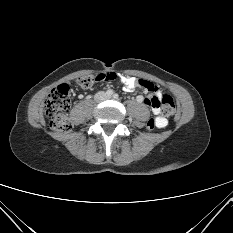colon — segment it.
<instances>
[{"instance_id": "colon-1", "label": "colon", "mask_w": 233, "mask_h": 233, "mask_svg": "<svg viewBox=\"0 0 233 233\" xmlns=\"http://www.w3.org/2000/svg\"><path fill=\"white\" fill-rule=\"evenodd\" d=\"M107 81V80H106ZM97 82L95 76L85 75L78 78L77 83L83 89H90ZM140 86L150 93L157 90L156 85L147 80H140ZM72 101V92L67 84H61L53 89L45 100L44 112L51 119L50 127L57 132H67L73 127L72 122L67 118L68 111ZM152 106H159L165 115H173L176 111L175 101L170 95H163L161 99H157L154 95L150 99ZM156 127L155 119L147 122V128Z\"/></svg>"}]
</instances>
